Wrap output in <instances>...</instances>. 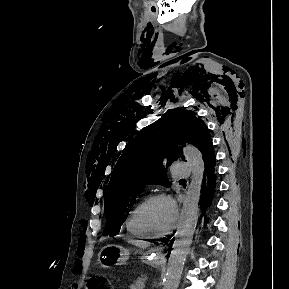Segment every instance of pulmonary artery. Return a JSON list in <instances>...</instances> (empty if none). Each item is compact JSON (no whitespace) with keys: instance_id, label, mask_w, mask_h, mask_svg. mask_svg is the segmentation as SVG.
I'll use <instances>...</instances> for the list:
<instances>
[{"instance_id":"1","label":"pulmonary artery","mask_w":289,"mask_h":289,"mask_svg":"<svg viewBox=\"0 0 289 289\" xmlns=\"http://www.w3.org/2000/svg\"><path fill=\"white\" fill-rule=\"evenodd\" d=\"M171 173L175 177L188 178L190 177V164L183 161L174 162L171 166Z\"/></svg>"}]
</instances>
